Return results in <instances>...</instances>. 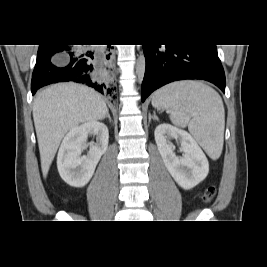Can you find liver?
<instances>
[{
  "label": "liver",
  "instance_id": "obj_1",
  "mask_svg": "<svg viewBox=\"0 0 267 267\" xmlns=\"http://www.w3.org/2000/svg\"><path fill=\"white\" fill-rule=\"evenodd\" d=\"M107 110L96 91L79 84H56L38 93L33 119L44 177L65 134L81 123L105 118Z\"/></svg>",
  "mask_w": 267,
  "mask_h": 267
}]
</instances>
